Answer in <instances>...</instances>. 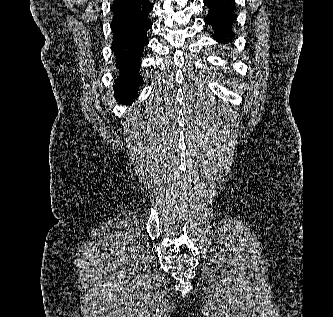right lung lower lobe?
<instances>
[{
    "label": "right lung lower lobe",
    "instance_id": "98d812e1",
    "mask_svg": "<svg viewBox=\"0 0 333 317\" xmlns=\"http://www.w3.org/2000/svg\"><path fill=\"white\" fill-rule=\"evenodd\" d=\"M152 9L150 0H114L111 7L112 50L120 71L114 94L128 103L135 99L142 84L139 65L143 48L149 43L147 31L152 22L148 15Z\"/></svg>",
    "mask_w": 333,
    "mask_h": 317
}]
</instances>
